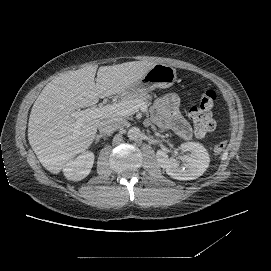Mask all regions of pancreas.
<instances>
[{"label": "pancreas", "mask_w": 271, "mask_h": 271, "mask_svg": "<svg viewBox=\"0 0 271 271\" xmlns=\"http://www.w3.org/2000/svg\"><path fill=\"white\" fill-rule=\"evenodd\" d=\"M131 100H140V101L145 102L147 105H150L151 94L135 92L131 95H126L123 97V102L131 101Z\"/></svg>", "instance_id": "pancreas-1"}]
</instances>
